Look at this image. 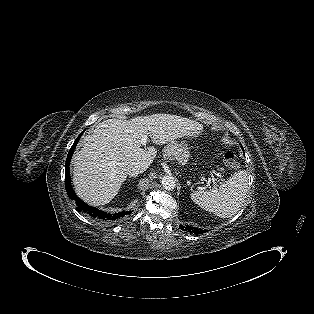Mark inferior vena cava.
Instances as JSON below:
<instances>
[{
    "label": "inferior vena cava",
    "mask_w": 314,
    "mask_h": 314,
    "mask_svg": "<svg viewBox=\"0 0 314 314\" xmlns=\"http://www.w3.org/2000/svg\"><path fill=\"white\" fill-rule=\"evenodd\" d=\"M144 168L138 164H130L126 168V174L130 177H136L139 173H142Z\"/></svg>",
    "instance_id": "obj_1"
}]
</instances>
